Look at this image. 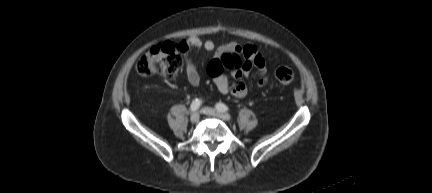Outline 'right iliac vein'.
I'll use <instances>...</instances> for the list:
<instances>
[{
  "instance_id": "1",
  "label": "right iliac vein",
  "mask_w": 432,
  "mask_h": 193,
  "mask_svg": "<svg viewBox=\"0 0 432 193\" xmlns=\"http://www.w3.org/2000/svg\"><path fill=\"white\" fill-rule=\"evenodd\" d=\"M199 113H197V112H194V113H192L191 114V116H190V121L192 122V123H197L198 122V120H199Z\"/></svg>"
}]
</instances>
